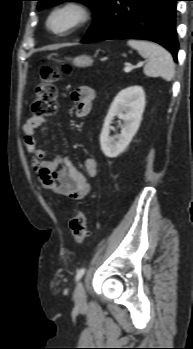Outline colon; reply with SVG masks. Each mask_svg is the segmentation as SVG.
Wrapping results in <instances>:
<instances>
[{"instance_id": "1", "label": "colon", "mask_w": 193, "mask_h": 349, "mask_svg": "<svg viewBox=\"0 0 193 349\" xmlns=\"http://www.w3.org/2000/svg\"><path fill=\"white\" fill-rule=\"evenodd\" d=\"M62 70L70 73L71 67L64 64ZM41 82L36 88L32 111L36 117H49L56 113L58 108V89L56 82L59 71L50 67L40 69ZM70 230L77 243H83L88 236L86 216L82 210H76L71 221Z\"/></svg>"}]
</instances>
